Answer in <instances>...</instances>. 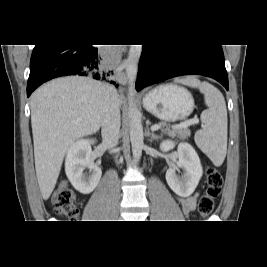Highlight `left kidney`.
<instances>
[{
	"mask_svg": "<svg viewBox=\"0 0 267 267\" xmlns=\"http://www.w3.org/2000/svg\"><path fill=\"white\" fill-rule=\"evenodd\" d=\"M175 147V142L165 140L160 144L162 151H169ZM178 162L176 166L169 168L166 172V181L169 187L180 197L190 196L196 189L202 175L203 169L199 156L195 149L188 143H179ZM181 168L184 171L182 177L176 174Z\"/></svg>",
	"mask_w": 267,
	"mask_h": 267,
	"instance_id": "obj_1",
	"label": "left kidney"
}]
</instances>
